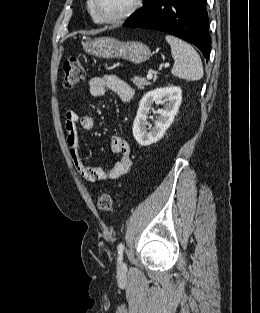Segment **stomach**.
<instances>
[{"label": "stomach", "instance_id": "obj_1", "mask_svg": "<svg viewBox=\"0 0 260 313\" xmlns=\"http://www.w3.org/2000/svg\"><path fill=\"white\" fill-rule=\"evenodd\" d=\"M86 53L104 59L122 58L134 64L149 60L151 51L141 42H122L111 37H99L82 42Z\"/></svg>", "mask_w": 260, "mask_h": 313}]
</instances>
